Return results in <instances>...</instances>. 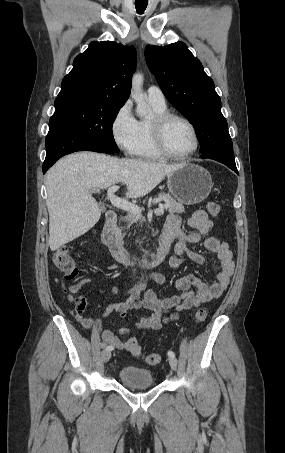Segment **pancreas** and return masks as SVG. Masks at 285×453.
I'll return each instance as SVG.
<instances>
[{"label": "pancreas", "instance_id": "cf45deb5", "mask_svg": "<svg viewBox=\"0 0 285 453\" xmlns=\"http://www.w3.org/2000/svg\"><path fill=\"white\" fill-rule=\"evenodd\" d=\"M153 200H162L165 202L163 208L168 210L169 213H184L185 209L184 206L181 203L176 202L175 199H173L169 194L165 193H160L157 198H154ZM144 221L142 216L140 214H129L126 216L125 221L128 222V227H130L133 223H136L138 221ZM116 233L118 235H121V229L116 228Z\"/></svg>", "mask_w": 285, "mask_h": 453}]
</instances>
